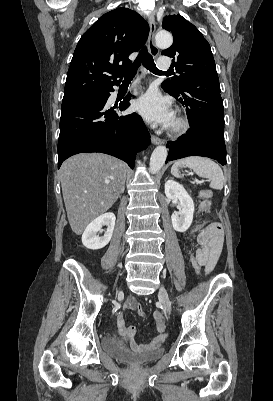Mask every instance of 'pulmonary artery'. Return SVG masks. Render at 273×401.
<instances>
[{"instance_id":"e3ab8cb5","label":"pulmonary artery","mask_w":273,"mask_h":401,"mask_svg":"<svg viewBox=\"0 0 273 401\" xmlns=\"http://www.w3.org/2000/svg\"><path fill=\"white\" fill-rule=\"evenodd\" d=\"M158 65H160V69L162 72H170L172 69L171 60L168 57H160L157 60Z\"/></svg>"}]
</instances>
